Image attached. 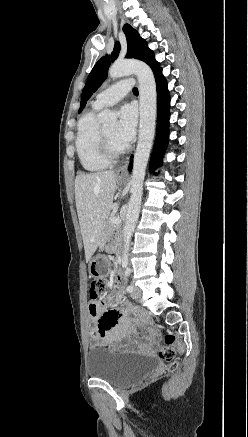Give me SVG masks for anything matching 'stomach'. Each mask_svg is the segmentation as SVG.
Instances as JSON below:
<instances>
[{"mask_svg": "<svg viewBox=\"0 0 248 437\" xmlns=\"http://www.w3.org/2000/svg\"><path fill=\"white\" fill-rule=\"evenodd\" d=\"M119 182H123V178L117 177ZM111 269L110 262H106L103 252H98V256L94 257L89 264V273H92L93 279H106L108 271Z\"/></svg>", "mask_w": 248, "mask_h": 437, "instance_id": "0dacf381", "label": "stomach"}]
</instances>
